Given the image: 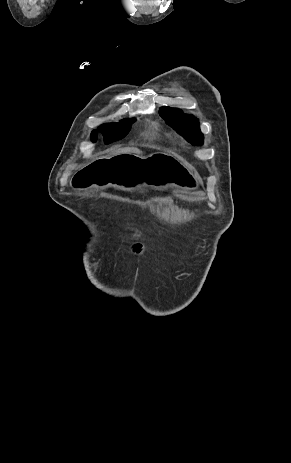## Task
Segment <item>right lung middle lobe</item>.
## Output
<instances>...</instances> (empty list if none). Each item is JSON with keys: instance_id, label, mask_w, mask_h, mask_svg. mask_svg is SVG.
<instances>
[{"instance_id": "1", "label": "right lung middle lobe", "mask_w": 291, "mask_h": 463, "mask_svg": "<svg viewBox=\"0 0 291 463\" xmlns=\"http://www.w3.org/2000/svg\"><path fill=\"white\" fill-rule=\"evenodd\" d=\"M135 119L122 120L119 123H110L101 126L98 130L101 131L104 135L105 144L112 143L114 141L120 140L123 138L130 130V125L134 122ZM92 141L97 139V131L94 130L91 133Z\"/></svg>"}]
</instances>
